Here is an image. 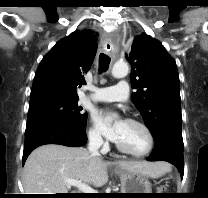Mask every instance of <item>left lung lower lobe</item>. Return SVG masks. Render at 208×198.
Returning a JSON list of instances; mask_svg holds the SVG:
<instances>
[{"label":"left lung lower lobe","instance_id":"obj_1","mask_svg":"<svg viewBox=\"0 0 208 198\" xmlns=\"http://www.w3.org/2000/svg\"><path fill=\"white\" fill-rule=\"evenodd\" d=\"M149 161H167L177 167L181 178L184 175L183 144L172 138H163L155 143V148Z\"/></svg>","mask_w":208,"mask_h":198}]
</instances>
